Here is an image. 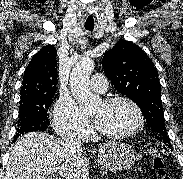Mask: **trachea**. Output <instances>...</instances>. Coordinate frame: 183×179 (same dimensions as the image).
I'll list each match as a JSON object with an SVG mask.
<instances>
[{
  "label": "trachea",
  "mask_w": 183,
  "mask_h": 179,
  "mask_svg": "<svg viewBox=\"0 0 183 179\" xmlns=\"http://www.w3.org/2000/svg\"><path fill=\"white\" fill-rule=\"evenodd\" d=\"M85 28L89 31H93L94 29V19L92 16H89L85 22Z\"/></svg>",
  "instance_id": "3493384b"
}]
</instances>
